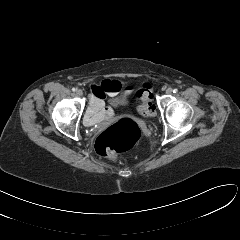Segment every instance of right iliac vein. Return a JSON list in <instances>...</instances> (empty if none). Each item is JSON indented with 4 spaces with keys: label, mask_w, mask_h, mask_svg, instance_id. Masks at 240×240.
Wrapping results in <instances>:
<instances>
[{
    "label": "right iliac vein",
    "mask_w": 240,
    "mask_h": 240,
    "mask_svg": "<svg viewBox=\"0 0 240 240\" xmlns=\"http://www.w3.org/2000/svg\"><path fill=\"white\" fill-rule=\"evenodd\" d=\"M76 95L79 96V97H81V96L83 95V91H82L81 89H78V90L76 91Z\"/></svg>",
    "instance_id": "right-iliac-vein-1"
}]
</instances>
